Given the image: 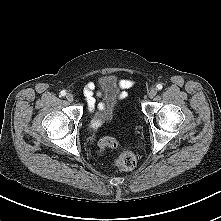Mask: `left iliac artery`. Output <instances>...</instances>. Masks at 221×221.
Here are the masks:
<instances>
[{
  "label": "left iliac artery",
  "instance_id": "left-iliac-artery-1",
  "mask_svg": "<svg viewBox=\"0 0 221 221\" xmlns=\"http://www.w3.org/2000/svg\"><path fill=\"white\" fill-rule=\"evenodd\" d=\"M156 87L158 90H161L163 88L162 84H158Z\"/></svg>",
  "mask_w": 221,
  "mask_h": 221
}]
</instances>
